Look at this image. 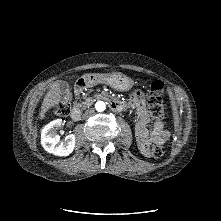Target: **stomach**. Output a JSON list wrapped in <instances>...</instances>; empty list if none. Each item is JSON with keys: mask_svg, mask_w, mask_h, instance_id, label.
<instances>
[{"mask_svg": "<svg viewBox=\"0 0 221 221\" xmlns=\"http://www.w3.org/2000/svg\"><path fill=\"white\" fill-rule=\"evenodd\" d=\"M78 81L77 86L81 83L86 87H91L102 82L119 91H128L134 85L133 80L121 72H112L109 74L89 73L83 75Z\"/></svg>", "mask_w": 221, "mask_h": 221, "instance_id": "0dacf381", "label": "stomach"}]
</instances>
